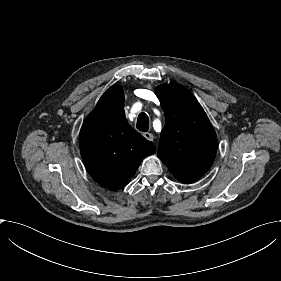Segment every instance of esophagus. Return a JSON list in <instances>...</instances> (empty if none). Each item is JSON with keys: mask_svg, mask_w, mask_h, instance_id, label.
I'll return each instance as SVG.
<instances>
[{"mask_svg": "<svg viewBox=\"0 0 281 281\" xmlns=\"http://www.w3.org/2000/svg\"><path fill=\"white\" fill-rule=\"evenodd\" d=\"M143 136H144L147 140H149V141H153V140H154V136H153L152 133L145 132V133H143Z\"/></svg>", "mask_w": 281, "mask_h": 281, "instance_id": "1", "label": "esophagus"}]
</instances>
